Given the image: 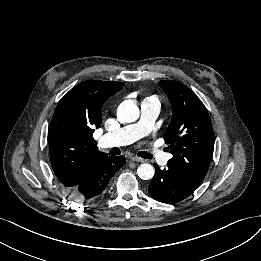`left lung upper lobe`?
Returning <instances> with one entry per match:
<instances>
[{"label": "left lung upper lobe", "instance_id": "obj_1", "mask_svg": "<svg viewBox=\"0 0 261 261\" xmlns=\"http://www.w3.org/2000/svg\"><path fill=\"white\" fill-rule=\"evenodd\" d=\"M173 110L172 120L164 133L173 158L167 163L182 180L196 189L204 179L213 154L214 133L208 112L185 85L160 81Z\"/></svg>", "mask_w": 261, "mask_h": 261}]
</instances>
